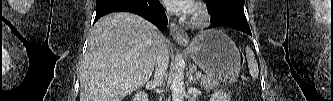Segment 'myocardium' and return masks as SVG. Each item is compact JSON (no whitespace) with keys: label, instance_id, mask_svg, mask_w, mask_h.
Masks as SVG:
<instances>
[{"label":"myocardium","instance_id":"myocardium-1","mask_svg":"<svg viewBox=\"0 0 333 101\" xmlns=\"http://www.w3.org/2000/svg\"><path fill=\"white\" fill-rule=\"evenodd\" d=\"M209 20L210 14L208 10L202 6H198L190 18V24L194 27H202L207 25Z\"/></svg>","mask_w":333,"mask_h":101}]
</instances>
